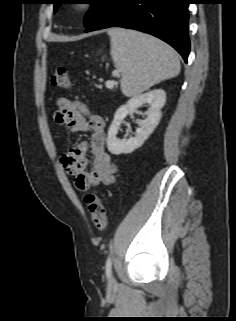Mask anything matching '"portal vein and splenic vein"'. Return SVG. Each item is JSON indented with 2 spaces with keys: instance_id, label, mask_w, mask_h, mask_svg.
<instances>
[{
  "instance_id": "obj_1",
  "label": "portal vein and splenic vein",
  "mask_w": 236,
  "mask_h": 321,
  "mask_svg": "<svg viewBox=\"0 0 236 321\" xmlns=\"http://www.w3.org/2000/svg\"><path fill=\"white\" fill-rule=\"evenodd\" d=\"M113 85H114V84H113V82H111V81H107V82H106V86L109 87V88L113 87Z\"/></svg>"
}]
</instances>
